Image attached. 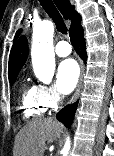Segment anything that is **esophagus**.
I'll use <instances>...</instances> for the list:
<instances>
[{"mask_svg":"<svg viewBox=\"0 0 114 156\" xmlns=\"http://www.w3.org/2000/svg\"><path fill=\"white\" fill-rule=\"evenodd\" d=\"M83 76H84V63L82 60H80V76H79V80H78V84H77L74 96L72 97L70 104L75 103L79 96L82 83H83Z\"/></svg>","mask_w":114,"mask_h":156,"instance_id":"34e87169","label":"esophagus"}]
</instances>
